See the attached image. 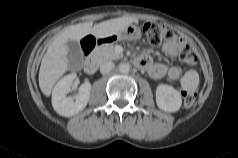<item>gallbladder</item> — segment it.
Returning a JSON list of instances; mask_svg holds the SVG:
<instances>
[{
	"mask_svg": "<svg viewBox=\"0 0 238 158\" xmlns=\"http://www.w3.org/2000/svg\"><path fill=\"white\" fill-rule=\"evenodd\" d=\"M66 46L68 48L67 59L69 64L72 67H80L83 63V54L79 43L74 40H68Z\"/></svg>",
	"mask_w": 238,
	"mask_h": 158,
	"instance_id": "gallbladder-1",
	"label": "gallbladder"
}]
</instances>
